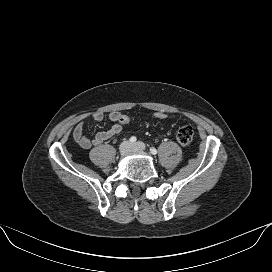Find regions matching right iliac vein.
Returning a JSON list of instances; mask_svg holds the SVG:
<instances>
[{"label":"right iliac vein","instance_id":"right-iliac-vein-1","mask_svg":"<svg viewBox=\"0 0 272 272\" xmlns=\"http://www.w3.org/2000/svg\"><path fill=\"white\" fill-rule=\"evenodd\" d=\"M119 149H120V154L122 156H125V155L129 154L130 151L132 150V145L130 142L125 141L120 145Z\"/></svg>","mask_w":272,"mask_h":272}]
</instances>
